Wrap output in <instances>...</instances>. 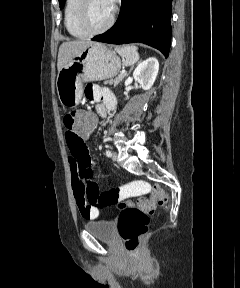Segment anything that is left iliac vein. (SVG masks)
Instances as JSON below:
<instances>
[{"instance_id":"4c4485c4","label":"left iliac vein","mask_w":240,"mask_h":288,"mask_svg":"<svg viewBox=\"0 0 240 288\" xmlns=\"http://www.w3.org/2000/svg\"><path fill=\"white\" fill-rule=\"evenodd\" d=\"M117 159H118V154L116 152H113L112 153V160L117 161Z\"/></svg>"}]
</instances>
